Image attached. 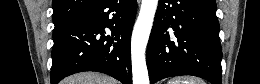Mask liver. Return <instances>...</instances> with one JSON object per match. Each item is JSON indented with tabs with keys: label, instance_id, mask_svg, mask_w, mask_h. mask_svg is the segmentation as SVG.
I'll use <instances>...</instances> for the list:
<instances>
[{
	"label": "liver",
	"instance_id": "obj_1",
	"mask_svg": "<svg viewBox=\"0 0 260 84\" xmlns=\"http://www.w3.org/2000/svg\"><path fill=\"white\" fill-rule=\"evenodd\" d=\"M63 84H117V81L100 73L82 72L66 78Z\"/></svg>",
	"mask_w": 260,
	"mask_h": 84
}]
</instances>
